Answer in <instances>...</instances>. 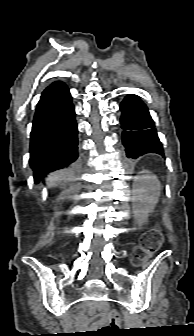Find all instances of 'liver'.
Masks as SVG:
<instances>
[{
	"label": "liver",
	"instance_id": "1",
	"mask_svg": "<svg viewBox=\"0 0 194 336\" xmlns=\"http://www.w3.org/2000/svg\"><path fill=\"white\" fill-rule=\"evenodd\" d=\"M71 173L68 170H59L48 176L46 179L49 187H55L60 184V182L67 180L70 177Z\"/></svg>",
	"mask_w": 194,
	"mask_h": 336
}]
</instances>
